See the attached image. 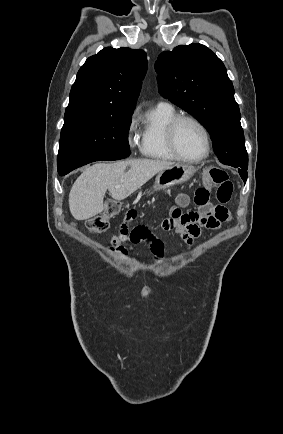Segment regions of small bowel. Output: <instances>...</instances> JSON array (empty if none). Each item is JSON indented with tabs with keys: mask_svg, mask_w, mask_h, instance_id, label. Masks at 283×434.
Here are the masks:
<instances>
[{
	"mask_svg": "<svg viewBox=\"0 0 283 434\" xmlns=\"http://www.w3.org/2000/svg\"><path fill=\"white\" fill-rule=\"evenodd\" d=\"M190 198L186 194H179L176 203L169 210V217L163 221V229L177 233L188 245H193L201 235V228L216 230L223 223L230 221V212L223 206H214L209 201V194L205 188H199L195 192L194 202L198 207L197 211L183 212L187 207ZM139 212L132 208L128 211L124 222L121 224L120 231L111 240L112 248L120 255H126V249L122 246L123 242L139 243L146 241L149 243L151 251L156 260L163 256V242L156 237L145 226H137L129 229L128 222L137 218Z\"/></svg>",
	"mask_w": 283,
	"mask_h": 434,
	"instance_id": "obj_1",
	"label": "small bowel"
}]
</instances>
